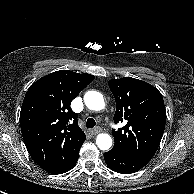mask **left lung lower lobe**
Returning a JSON list of instances; mask_svg holds the SVG:
<instances>
[{
	"instance_id": "0a47b994",
	"label": "left lung lower lobe",
	"mask_w": 194,
	"mask_h": 194,
	"mask_svg": "<svg viewBox=\"0 0 194 194\" xmlns=\"http://www.w3.org/2000/svg\"><path fill=\"white\" fill-rule=\"evenodd\" d=\"M104 159L111 170L121 174L135 173L147 164L114 149L105 152Z\"/></svg>"
}]
</instances>
